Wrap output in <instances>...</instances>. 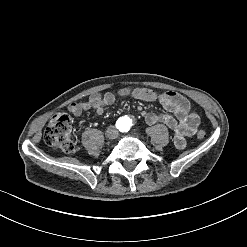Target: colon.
<instances>
[{
	"label": "colon",
	"instance_id": "colon-1",
	"mask_svg": "<svg viewBox=\"0 0 247 247\" xmlns=\"http://www.w3.org/2000/svg\"><path fill=\"white\" fill-rule=\"evenodd\" d=\"M136 94L142 101L152 98L149 88H138ZM71 122L63 114H55L49 120L44 130V142L57 151L64 153H74L77 150V143L71 137ZM206 136L203 130H199L197 137L202 139Z\"/></svg>",
	"mask_w": 247,
	"mask_h": 247
}]
</instances>
